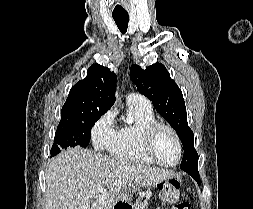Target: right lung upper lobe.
<instances>
[{
  "instance_id": "cb5924a9",
  "label": "right lung upper lobe",
  "mask_w": 253,
  "mask_h": 209,
  "mask_svg": "<svg viewBox=\"0 0 253 209\" xmlns=\"http://www.w3.org/2000/svg\"><path fill=\"white\" fill-rule=\"evenodd\" d=\"M117 76L109 68L93 64L87 77L76 83L61 110V121L89 113L107 112L115 102Z\"/></svg>"
}]
</instances>
